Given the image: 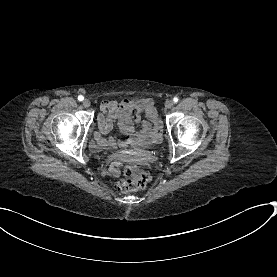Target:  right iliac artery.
<instances>
[{
	"instance_id": "82829eb1",
	"label": "right iliac artery",
	"mask_w": 277,
	"mask_h": 277,
	"mask_svg": "<svg viewBox=\"0 0 277 277\" xmlns=\"http://www.w3.org/2000/svg\"><path fill=\"white\" fill-rule=\"evenodd\" d=\"M84 99V97L82 95L78 96V100L82 101Z\"/></svg>"
}]
</instances>
